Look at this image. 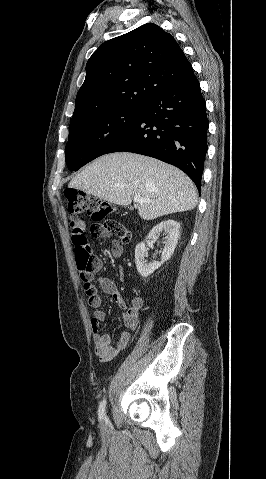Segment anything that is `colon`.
Masks as SVG:
<instances>
[{
  "instance_id": "5ec220e1",
  "label": "colon",
  "mask_w": 266,
  "mask_h": 479,
  "mask_svg": "<svg viewBox=\"0 0 266 479\" xmlns=\"http://www.w3.org/2000/svg\"><path fill=\"white\" fill-rule=\"evenodd\" d=\"M64 196L66 211L71 219V240L76 268L83 284V290L92 305L96 303L98 292L91 280L92 255L88 238L84 233L85 224L82 215L87 214L92 219L90 232L97 238L112 237L127 242L130 239V233L118 221L107 218L114 211L112 204L76 189L65 190Z\"/></svg>"
}]
</instances>
